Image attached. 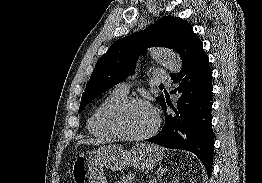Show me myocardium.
<instances>
[{
    "mask_svg": "<svg viewBox=\"0 0 262 183\" xmlns=\"http://www.w3.org/2000/svg\"><path fill=\"white\" fill-rule=\"evenodd\" d=\"M139 104L147 105L153 110L154 115H155V124L152 127V129L145 134H142V135L128 134L121 127L120 118L126 109H128L129 107L133 105H139ZM160 123H161V120H160V116L157 113V111L153 108V106L149 102L143 99H140V98H134V97L125 98L124 100L116 104L107 114V125L109 129L117 137L121 139H125V140H131V141L146 140L157 133L160 127Z\"/></svg>",
    "mask_w": 262,
    "mask_h": 183,
    "instance_id": "myocardium-1",
    "label": "myocardium"
}]
</instances>
